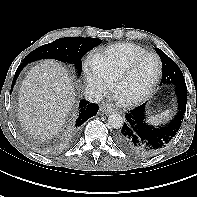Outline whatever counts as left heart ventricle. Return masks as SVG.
I'll use <instances>...</instances> for the list:
<instances>
[{
  "label": "left heart ventricle",
  "mask_w": 197,
  "mask_h": 197,
  "mask_svg": "<svg viewBox=\"0 0 197 197\" xmlns=\"http://www.w3.org/2000/svg\"><path fill=\"white\" fill-rule=\"evenodd\" d=\"M157 69L158 65L154 57L141 59L118 86L116 91L118 97L129 99L143 94L154 80Z\"/></svg>",
  "instance_id": "b2bd125f"
}]
</instances>
